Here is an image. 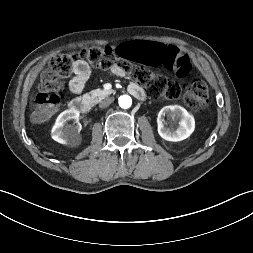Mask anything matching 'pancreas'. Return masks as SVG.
<instances>
[{
  "label": "pancreas",
  "mask_w": 253,
  "mask_h": 253,
  "mask_svg": "<svg viewBox=\"0 0 253 253\" xmlns=\"http://www.w3.org/2000/svg\"><path fill=\"white\" fill-rule=\"evenodd\" d=\"M112 93V90H105V89H96L89 92V95L92 99L100 100Z\"/></svg>",
  "instance_id": "cf45deb5"
}]
</instances>
